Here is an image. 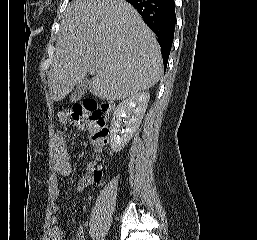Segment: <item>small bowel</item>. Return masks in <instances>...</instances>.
<instances>
[{
    "mask_svg": "<svg viewBox=\"0 0 257 240\" xmlns=\"http://www.w3.org/2000/svg\"><path fill=\"white\" fill-rule=\"evenodd\" d=\"M54 171L62 177H67L72 173V165L69 159L68 152V140L63 133H57L54 135ZM95 161L88 163L85 173L79 181L75 196H77L84 188L88 187L93 183H97L101 180V177H97L94 173L96 166ZM54 195L59 196L60 191L57 187L54 189ZM59 211L58 205L54 204L51 207V224L52 228L49 233L50 240H62V231L56 225L58 221L57 213ZM75 240H85V233L82 228H78L75 232Z\"/></svg>",
    "mask_w": 257,
    "mask_h": 240,
    "instance_id": "c3829d8e",
    "label": "small bowel"
}]
</instances>
